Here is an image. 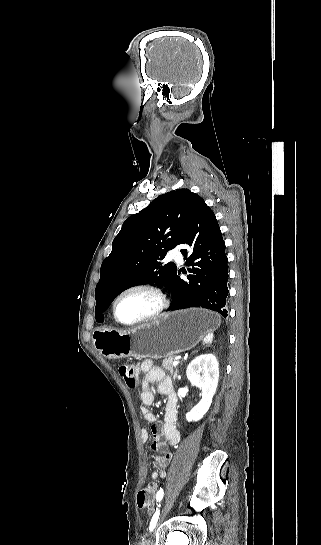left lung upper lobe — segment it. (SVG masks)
I'll return each instance as SVG.
<instances>
[{"label":"left lung upper lobe","mask_w":321,"mask_h":545,"mask_svg":"<svg viewBox=\"0 0 321 545\" xmlns=\"http://www.w3.org/2000/svg\"><path fill=\"white\" fill-rule=\"evenodd\" d=\"M204 199L189 189L160 195L150 205L127 218L103 261L95 290V319L124 290L143 284L167 286L177 267L162 264L167 251L179 244L198 204Z\"/></svg>","instance_id":"1"}]
</instances>
